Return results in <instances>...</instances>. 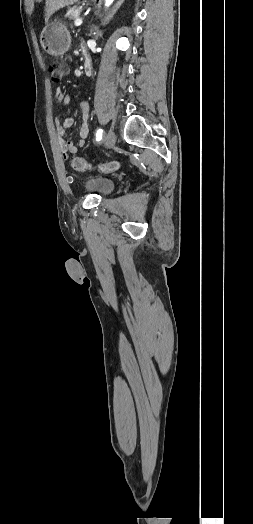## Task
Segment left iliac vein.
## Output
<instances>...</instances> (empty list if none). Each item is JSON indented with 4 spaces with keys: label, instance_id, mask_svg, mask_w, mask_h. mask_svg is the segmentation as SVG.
I'll use <instances>...</instances> for the list:
<instances>
[{
    "label": "left iliac vein",
    "instance_id": "1",
    "mask_svg": "<svg viewBox=\"0 0 253 524\" xmlns=\"http://www.w3.org/2000/svg\"><path fill=\"white\" fill-rule=\"evenodd\" d=\"M104 145L106 148H112L115 143H116V135L114 133L113 130H109L105 135H104Z\"/></svg>",
    "mask_w": 253,
    "mask_h": 524
}]
</instances>
